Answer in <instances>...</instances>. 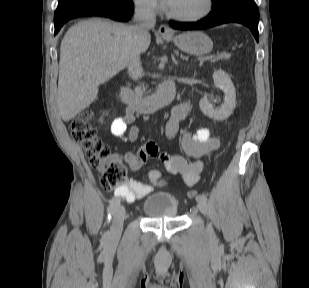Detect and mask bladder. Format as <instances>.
Returning <instances> with one entry per match:
<instances>
[{"mask_svg":"<svg viewBox=\"0 0 309 288\" xmlns=\"http://www.w3.org/2000/svg\"><path fill=\"white\" fill-rule=\"evenodd\" d=\"M179 208L178 199L169 192L156 191L147 194L142 204V211L149 219L174 218Z\"/></svg>","mask_w":309,"mask_h":288,"instance_id":"31cf9c89","label":"bladder"}]
</instances>
